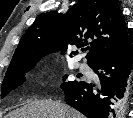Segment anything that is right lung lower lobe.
<instances>
[{
    "label": "right lung lower lobe",
    "mask_w": 133,
    "mask_h": 118,
    "mask_svg": "<svg viewBox=\"0 0 133 118\" xmlns=\"http://www.w3.org/2000/svg\"><path fill=\"white\" fill-rule=\"evenodd\" d=\"M130 39L99 55L89 66L100 84L80 81L64 90L65 102L88 118H121L132 76Z\"/></svg>",
    "instance_id": "98d812e1"
}]
</instances>
